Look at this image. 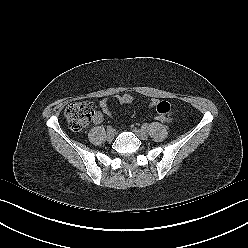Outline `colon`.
I'll return each mask as SVG.
<instances>
[{"label": "colon", "mask_w": 248, "mask_h": 248, "mask_svg": "<svg viewBox=\"0 0 248 248\" xmlns=\"http://www.w3.org/2000/svg\"><path fill=\"white\" fill-rule=\"evenodd\" d=\"M95 112L94 104L91 101H80L69 104L65 109V118L70 129L74 132H81L91 122ZM155 120L160 123H167L165 115L158 114Z\"/></svg>", "instance_id": "colon-1"}]
</instances>
